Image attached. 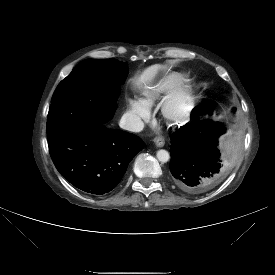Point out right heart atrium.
<instances>
[{"label":"right heart atrium","instance_id":"obj_1","mask_svg":"<svg viewBox=\"0 0 275 275\" xmlns=\"http://www.w3.org/2000/svg\"><path fill=\"white\" fill-rule=\"evenodd\" d=\"M127 114L136 128H140L149 116L148 110L134 99L127 101Z\"/></svg>","mask_w":275,"mask_h":275}]
</instances>
